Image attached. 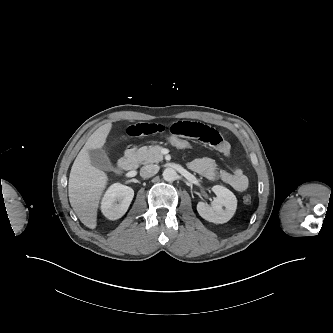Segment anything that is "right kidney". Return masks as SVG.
<instances>
[{"label":"right kidney","mask_w":333,"mask_h":333,"mask_svg":"<svg viewBox=\"0 0 333 333\" xmlns=\"http://www.w3.org/2000/svg\"><path fill=\"white\" fill-rule=\"evenodd\" d=\"M133 197L134 190L131 187L120 183L113 184L101 203L103 215L110 220L121 218L128 210Z\"/></svg>","instance_id":"right-kidney-1"}]
</instances>
